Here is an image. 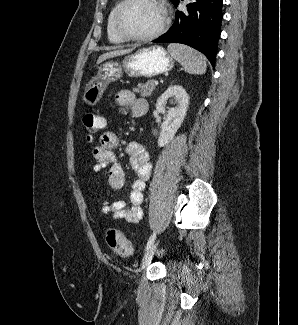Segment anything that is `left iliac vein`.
<instances>
[{
    "instance_id": "left-iliac-vein-1",
    "label": "left iliac vein",
    "mask_w": 298,
    "mask_h": 325,
    "mask_svg": "<svg viewBox=\"0 0 298 325\" xmlns=\"http://www.w3.org/2000/svg\"><path fill=\"white\" fill-rule=\"evenodd\" d=\"M157 246H158V241L154 242L147 249V251L145 252V254H144L143 258H142V261H141V265H140L141 270L145 269L150 264V262L153 259L154 254L156 252Z\"/></svg>"
}]
</instances>
